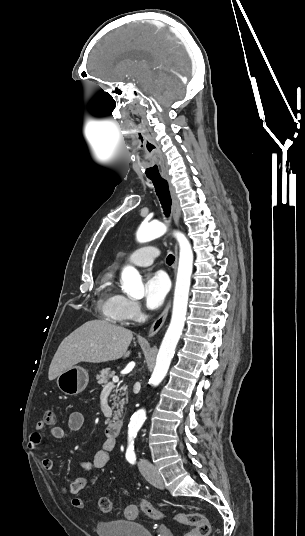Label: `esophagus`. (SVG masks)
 Here are the masks:
<instances>
[{
    "mask_svg": "<svg viewBox=\"0 0 305 536\" xmlns=\"http://www.w3.org/2000/svg\"><path fill=\"white\" fill-rule=\"evenodd\" d=\"M164 178H165V180H167L168 185H169V192H170L171 200H172L173 217H174L176 225H178L179 220H180V216H181V209H180V205H179V200H178L177 195L175 193V189L173 187L171 177L169 175H165ZM177 259H178V246H177V243H175V271H176V267H177ZM170 306H171V302L169 301L167 306L165 307V309L162 311V313L158 316V318H156V320L152 324V326H151V328L149 330V333H148L149 337L154 336L156 333H158L160 328H162L163 324L166 321Z\"/></svg>",
    "mask_w": 305,
    "mask_h": 536,
    "instance_id": "1",
    "label": "esophagus"
}]
</instances>
